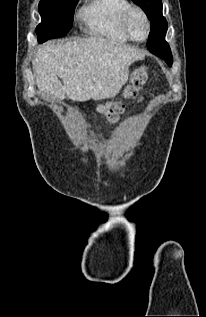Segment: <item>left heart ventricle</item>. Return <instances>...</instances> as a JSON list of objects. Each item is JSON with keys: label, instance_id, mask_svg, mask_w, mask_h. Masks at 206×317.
I'll use <instances>...</instances> for the list:
<instances>
[{"label": "left heart ventricle", "instance_id": "obj_1", "mask_svg": "<svg viewBox=\"0 0 206 317\" xmlns=\"http://www.w3.org/2000/svg\"><path fill=\"white\" fill-rule=\"evenodd\" d=\"M129 28L138 39H143L146 35V24L143 17L139 13H134L129 21Z\"/></svg>", "mask_w": 206, "mask_h": 317}]
</instances>
